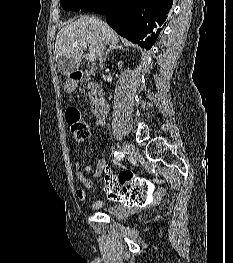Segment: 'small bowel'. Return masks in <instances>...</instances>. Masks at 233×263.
<instances>
[{
	"label": "small bowel",
	"mask_w": 233,
	"mask_h": 263,
	"mask_svg": "<svg viewBox=\"0 0 233 263\" xmlns=\"http://www.w3.org/2000/svg\"><path fill=\"white\" fill-rule=\"evenodd\" d=\"M96 124L104 125V121L99 120L96 122ZM105 169H106V165L103 160H100L95 168H92L89 165L81 167L80 164L77 163L76 164V177L81 182L84 188H92L94 185L93 178L101 175L105 171ZM87 173L91 174V177H88L86 175ZM117 174H114V175H117ZM155 182L160 183L161 180L156 179ZM84 188H78L76 190V196L82 202H85L88 199L87 192ZM164 194H165V189L163 187L158 188L156 192L153 193L154 195L153 202H147V205L159 203L161 199L163 198ZM91 207L94 210L104 209L106 212H108L109 214L117 218H124L128 216L129 214L134 213L138 211L139 209H141V208H135L134 205L132 208H126L124 205V202H117V204L113 206H105V202L101 200L92 202Z\"/></svg>",
	"instance_id": "1"
}]
</instances>
